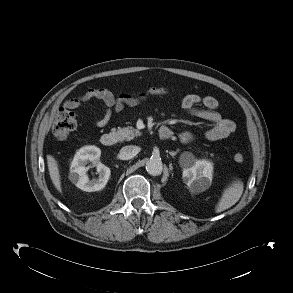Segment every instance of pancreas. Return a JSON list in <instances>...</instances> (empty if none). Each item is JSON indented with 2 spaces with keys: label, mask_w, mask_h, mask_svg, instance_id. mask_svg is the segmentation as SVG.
<instances>
[{
  "label": "pancreas",
  "mask_w": 293,
  "mask_h": 293,
  "mask_svg": "<svg viewBox=\"0 0 293 293\" xmlns=\"http://www.w3.org/2000/svg\"><path fill=\"white\" fill-rule=\"evenodd\" d=\"M116 134L118 135V139L120 141H130L133 138L140 136L141 132L138 131L137 129H134L131 126L125 127V128H118L116 131Z\"/></svg>",
  "instance_id": "1"
}]
</instances>
